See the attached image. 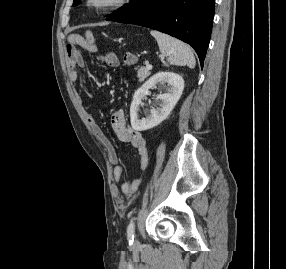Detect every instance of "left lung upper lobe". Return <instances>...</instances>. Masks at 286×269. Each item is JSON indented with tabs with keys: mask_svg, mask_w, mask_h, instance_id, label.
<instances>
[{
	"mask_svg": "<svg viewBox=\"0 0 286 269\" xmlns=\"http://www.w3.org/2000/svg\"><path fill=\"white\" fill-rule=\"evenodd\" d=\"M80 0H74L73 6H76ZM148 0H131V4L129 6H123L117 11H114V15L107 18L110 21H118L127 16L132 15L133 13L137 12L141 8H143Z\"/></svg>",
	"mask_w": 286,
	"mask_h": 269,
	"instance_id": "left-lung-upper-lobe-1",
	"label": "left lung upper lobe"
}]
</instances>
